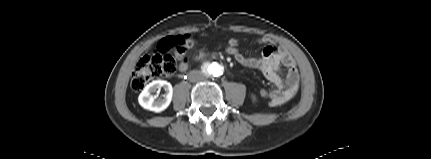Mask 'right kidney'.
<instances>
[{
  "label": "right kidney",
  "mask_w": 431,
  "mask_h": 159,
  "mask_svg": "<svg viewBox=\"0 0 431 159\" xmlns=\"http://www.w3.org/2000/svg\"><path fill=\"white\" fill-rule=\"evenodd\" d=\"M164 88L165 94L158 98V95H153ZM173 96L172 85L164 80H155L148 84L138 97L139 104L147 110L154 112L164 111L171 103Z\"/></svg>",
  "instance_id": "1"
}]
</instances>
